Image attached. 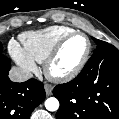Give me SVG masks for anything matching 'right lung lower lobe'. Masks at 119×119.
Listing matches in <instances>:
<instances>
[{"label": "right lung lower lobe", "mask_w": 119, "mask_h": 119, "mask_svg": "<svg viewBox=\"0 0 119 119\" xmlns=\"http://www.w3.org/2000/svg\"><path fill=\"white\" fill-rule=\"evenodd\" d=\"M10 68V60L0 54V119H29L46 97L43 84L36 79L12 82L8 77Z\"/></svg>", "instance_id": "98d812e1"}]
</instances>
